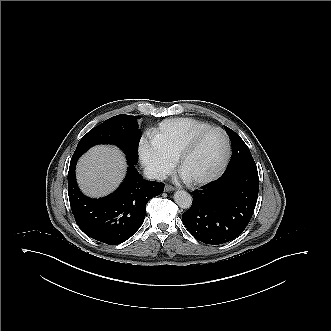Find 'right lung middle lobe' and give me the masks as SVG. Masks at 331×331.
<instances>
[{"mask_svg":"<svg viewBox=\"0 0 331 331\" xmlns=\"http://www.w3.org/2000/svg\"><path fill=\"white\" fill-rule=\"evenodd\" d=\"M140 116L117 115L90 130L79 141L73 154L80 157L97 144H114L124 151L127 161L136 164L141 131L137 119Z\"/></svg>","mask_w":331,"mask_h":331,"instance_id":"1","label":"right lung middle lobe"}]
</instances>
